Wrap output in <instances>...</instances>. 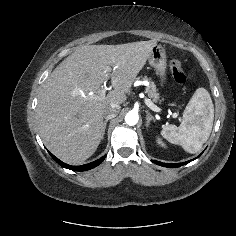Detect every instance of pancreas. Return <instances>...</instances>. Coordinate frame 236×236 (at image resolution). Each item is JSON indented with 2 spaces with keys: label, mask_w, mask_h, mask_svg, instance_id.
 Returning <instances> with one entry per match:
<instances>
[{
  "label": "pancreas",
  "mask_w": 236,
  "mask_h": 236,
  "mask_svg": "<svg viewBox=\"0 0 236 236\" xmlns=\"http://www.w3.org/2000/svg\"><path fill=\"white\" fill-rule=\"evenodd\" d=\"M144 80H149L147 77H144ZM145 92L148 94L149 98L153 99V101L155 102H159L160 97H159V93H157V89H156V85L151 82L147 87Z\"/></svg>",
  "instance_id": "1"
}]
</instances>
